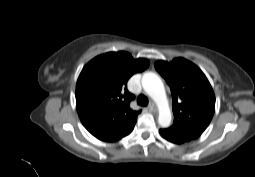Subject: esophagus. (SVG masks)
Here are the masks:
<instances>
[{"instance_id":"obj_1","label":"esophagus","mask_w":255,"mask_h":177,"mask_svg":"<svg viewBox=\"0 0 255 177\" xmlns=\"http://www.w3.org/2000/svg\"><path fill=\"white\" fill-rule=\"evenodd\" d=\"M148 108L151 112H156L157 111V108H156L155 104L152 103V102L149 104Z\"/></svg>"}]
</instances>
